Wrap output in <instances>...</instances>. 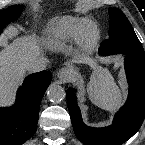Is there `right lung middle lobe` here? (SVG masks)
<instances>
[{
  "mask_svg": "<svg viewBox=\"0 0 145 145\" xmlns=\"http://www.w3.org/2000/svg\"><path fill=\"white\" fill-rule=\"evenodd\" d=\"M22 10L21 5H14L11 8L0 10V32L2 27L10 21L16 19Z\"/></svg>",
  "mask_w": 145,
  "mask_h": 145,
  "instance_id": "right-lung-middle-lobe-1",
  "label": "right lung middle lobe"
}]
</instances>
